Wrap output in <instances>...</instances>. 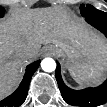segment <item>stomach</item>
Listing matches in <instances>:
<instances>
[{
    "label": "stomach",
    "instance_id": "obj_1",
    "mask_svg": "<svg viewBox=\"0 0 107 107\" xmlns=\"http://www.w3.org/2000/svg\"><path fill=\"white\" fill-rule=\"evenodd\" d=\"M74 41H76V36L70 34L67 40L61 41L59 44L49 45L47 49L51 53L65 59L69 66L77 65L86 60L79 57L83 43L79 42L78 44H74Z\"/></svg>",
    "mask_w": 107,
    "mask_h": 107
}]
</instances>
